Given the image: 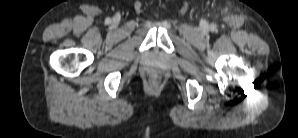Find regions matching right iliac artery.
<instances>
[{
	"label": "right iliac artery",
	"mask_w": 298,
	"mask_h": 138,
	"mask_svg": "<svg viewBox=\"0 0 298 138\" xmlns=\"http://www.w3.org/2000/svg\"><path fill=\"white\" fill-rule=\"evenodd\" d=\"M111 22V19L110 18H107L106 20H105V23L106 24H109Z\"/></svg>",
	"instance_id": "82829eb1"
}]
</instances>
